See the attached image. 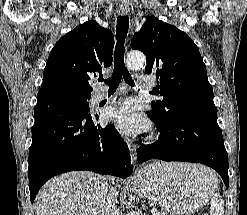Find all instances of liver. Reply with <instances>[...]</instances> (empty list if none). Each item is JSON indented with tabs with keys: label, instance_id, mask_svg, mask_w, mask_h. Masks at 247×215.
I'll list each match as a JSON object with an SVG mask.
<instances>
[{
	"label": "liver",
	"instance_id": "liver-1",
	"mask_svg": "<svg viewBox=\"0 0 247 215\" xmlns=\"http://www.w3.org/2000/svg\"><path fill=\"white\" fill-rule=\"evenodd\" d=\"M193 168L214 174L206 167L194 165ZM110 180L115 184L113 178L93 172L62 174L39 191L34 204L35 215H104Z\"/></svg>",
	"mask_w": 247,
	"mask_h": 215
}]
</instances>
